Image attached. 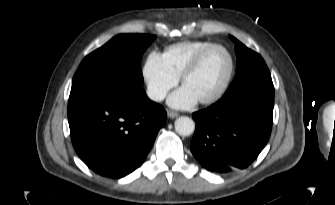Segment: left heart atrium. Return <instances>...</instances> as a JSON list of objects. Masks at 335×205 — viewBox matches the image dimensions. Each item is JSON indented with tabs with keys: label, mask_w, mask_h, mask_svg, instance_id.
Masks as SVG:
<instances>
[{
	"label": "left heart atrium",
	"mask_w": 335,
	"mask_h": 205,
	"mask_svg": "<svg viewBox=\"0 0 335 205\" xmlns=\"http://www.w3.org/2000/svg\"><path fill=\"white\" fill-rule=\"evenodd\" d=\"M197 98L184 86L174 92L168 103L174 108H189L197 102Z\"/></svg>",
	"instance_id": "39dd6f15"
}]
</instances>
